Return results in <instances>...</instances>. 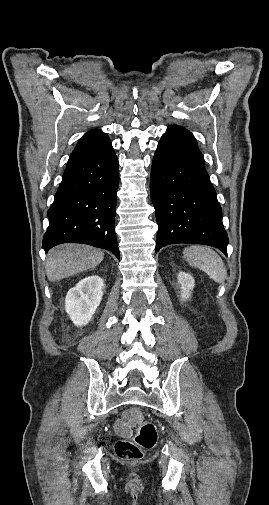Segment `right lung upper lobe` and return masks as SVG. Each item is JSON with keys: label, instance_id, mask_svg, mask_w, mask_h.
<instances>
[{"label": "right lung upper lobe", "instance_id": "obj_1", "mask_svg": "<svg viewBox=\"0 0 269 505\" xmlns=\"http://www.w3.org/2000/svg\"><path fill=\"white\" fill-rule=\"evenodd\" d=\"M109 142H110L109 137L101 130L95 129L89 131L79 140L69 160L90 154L100 149Z\"/></svg>", "mask_w": 269, "mask_h": 505}]
</instances>
